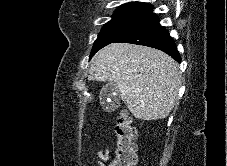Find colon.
<instances>
[{"instance_id": "obj_1", "label": "colon", "mask_w": 227, "mask_h": 166, "mask_svg": "<svg viewBox=\"0 0 227 166\" xmlns=\"http://www.w3.org/2000/svg\"><path fill=\"white\" fill-rule=\"evenodd\" d=\"M116 135V150L109 166H134L135 155V128L127 113H122L114 127Z\"/></svg>"}]
</instances>
